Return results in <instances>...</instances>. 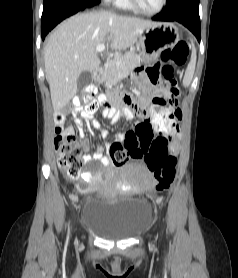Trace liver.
Listing matches in <instances>:
<instances>
[{
  "label": "liver",
  "instance_id": "6515ba94",
  "mask_svg": "<svg viewBox=\"0 0 238 278\" xmlns=\"http://www.w3.org/2000/svg\"><path fill=\"white\" fill-rule=\"evenodd\" d=\"M152 24L107 11L80 13L61 23L48 38L44 50L54 111L59 112L76 95L77 80L83 71L99 68L97 45L111 41V49L126 50Z\"/></svg>",
  "mask_w": 238,
  "mask_h": 278
}]
</instances>
